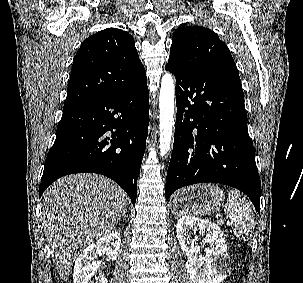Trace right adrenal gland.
I'll list each match as a JSON object with an SVG mask.
<instances>
[{
  "mask_svg": "<svg viewBox=\"0 0 303 283\" xmlns=\"http://www.w3.org/2000/svg\"><path fill=\"white\" fill-rule=\"evenodd\" d=\"M121 218H126V219L128 218L127 209L124 210V212H123ZM121 218H120V219H121Z\"/></svg>",
  "mask_w": 303,
  "mask_h": 283,
  "instance_id": "obj_1",
  "label": "right adrenal gland"
}]
</instances>
